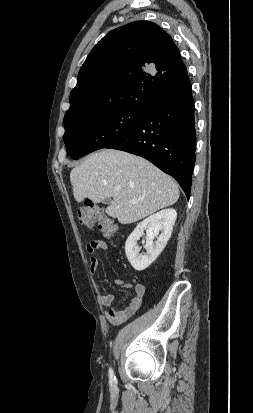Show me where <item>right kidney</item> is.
Returning <instances> with one entry per match:
<instances>
[{
  "label": "right kidney",
  "instance_id": "right-kidney-1",
  "mask_svg": "<svg viewBox=\"0 0 253 413\" xmlns=\"http://www.w3.org/2000/svg\"><path fill=\"white\" fill-rule=\"evenodd\" d=\"M176 218L175 209L161 210L139 223L129 235L125 243V253L135 270L146 269L160 255L171 236ZM144 230H146V253L142 255L139 254L140 248L137 246V241L144 234ZM160 231L161 234H159ZM154 238H157L155 242Z\"/></svg>",
  "mask_w": 253,
  "mask_h": 413
}]
</instances>
